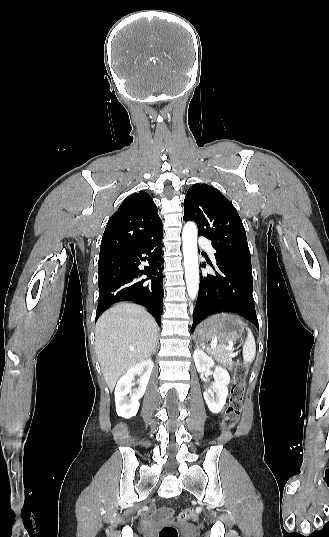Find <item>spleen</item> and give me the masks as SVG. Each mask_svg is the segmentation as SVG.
<instances>
[{
    "label": "spleen",
    "mask_w": 329,
    "mask_h": 537,
    "mask_svg": "<svg viewBox=\"0 0 329 537\" xmlns=\"http://www.w3.org/2000/svg\"><path fill=\"white\" fill-rule=\"evenodd\" d=\"M256 354L255 339L251 331L248 330L247 339L243 345V359L245 363L252 362Z\"/></svg>",
    "instance_id": "spleen-1"
}]
</instances>
